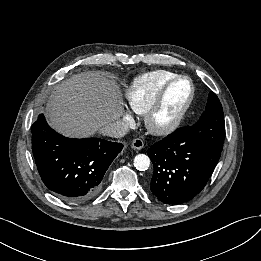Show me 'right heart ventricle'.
Here are the masks:
<instances>
[{
    "label": "right heart ventricle",
    "instance_id": "e07e8e85",
    "mask_svg": "<svg viewBox=\"0 0 261 261\" xmlns=\"http://www.w3.org/2000/svg\"><path fill=\"white\" fill-rule=\"evenodd\" d=\"M176 76L174 72L156 70L134 78L126 92L131 109L139 115H144L164 85Z\"/></svg>",
    "mask_w": 261,
    "mask_h": 261
}]
</instances>
